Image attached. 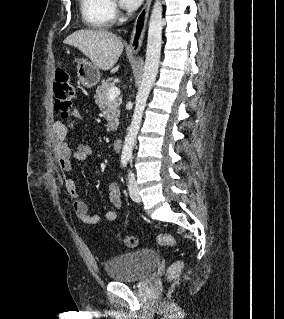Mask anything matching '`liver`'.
Instances as JSON below:
<instances>
[{"label": "liver", "mask_w": 284, "mask_h": 319, "mask_svg": "<svg viewBox=\"0 0 284 319\" xmlns=\"http://www.w3.org/2000/svg\"><path fill=\"white\" fill-rule=\"evenodd\" d=\"M64 43L77 47L98 69L111 70V73L119 69V66L114 65L122 54L124 45L121 38L112 32L81 29L69 35Z\"/></svg>", "instance_id": "1"}]
</instances>
